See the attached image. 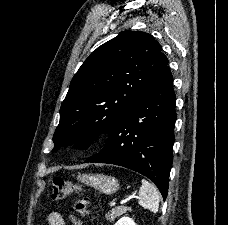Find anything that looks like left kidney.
<instances>
[{
	"mask_svg": "<svg viewBox=\"0 0 228 225\" xmlns=\"http://www.w3.org/2000/svg\"><path fill=\"white\" fill-rule=\"evenodd\" d=\"M115 225H136V223H134L133 219H130V217H122Z\"/></svg>",
	"mask_w": 228,
	"mask_h": 225,
	"instance_id": "1",
	"label": "left kidney"
}]
</instances>
